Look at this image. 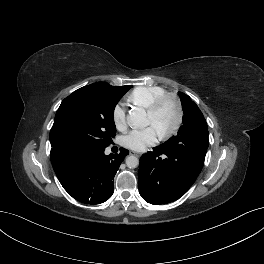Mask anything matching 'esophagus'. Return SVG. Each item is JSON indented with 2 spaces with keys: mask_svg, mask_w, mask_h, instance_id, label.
<instances>
[{
  "mask_svg": "<svg viewBox=\"0 0 264 264\" xmlns=\"http://www.w3.org/2000/svg\"><path fill=\"white\" fill-rule=\"evenodd\" d=\"M130 154H133V155L139 156V154L136 153V152H130Z\"/></svg>",
  "mask_w": 264,
  "mask_h": 264,
  "instance_id": "1",
  "label": "esophagus"
}]
</instances>
